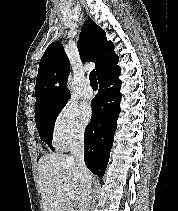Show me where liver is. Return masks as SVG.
<instances>
[{"label": "liver", "instance_id": "6515ba94", "mask_svg": "<svg viewBox=\"0 0 178 211\" xmlns=\"http://www.w3.org/2000/svg\"><path fill=\"white\" fill-rule=\"evenodd\" d=\"M38 170L44 211H74L64 188L75 195L81 206L83 178L70 156L46 154L39 159Z\"/></svg>", "mask_w": 178, "mask_h": 211}]
</instances>
